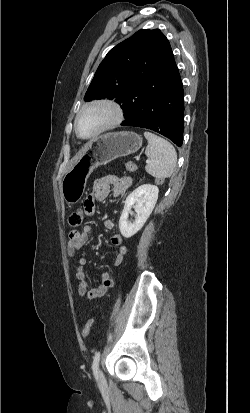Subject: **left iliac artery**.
<instances>
[{"label":"left iliac artery","mask_w":250,"mask_h":413,"mask_svg":"<svg viewBox=\"0 0 250 413\" xmlns=\"http://www.w3.org/2000/svg\"><path fill=\"white\" fill-rule=\"evenodd\" d=\"M100 361V352H97L93 359L92 370L96 379H98V366Z\"/></svg>","instance_id":"obj_1"}]
</instances>
